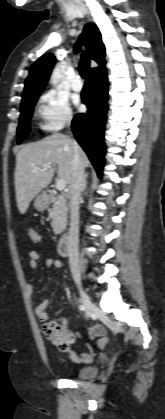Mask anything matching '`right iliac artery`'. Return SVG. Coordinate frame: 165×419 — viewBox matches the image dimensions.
<instances>
[{
	"label": "right iliac artery",
	"instance_id": "82829eb1",
	"mask_svg": "<svg viewBox=\"0 0 165 419\" xmlns=\"http://www.w3.org/2000/svg\"><path fill=\"white\" fill-rule=\"evenodd\" d=\"M79 309H80L81 311H84V310H85V307H84L83 305H80V306H79Z\"/></svg>",
	"mask_w": 165,
	"mask_h": 419
}]
</instances>
